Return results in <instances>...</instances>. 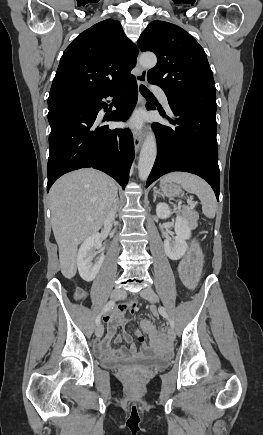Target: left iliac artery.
<instances>
[{"label": "left iliac artery", "mask_w": 263, "mask_h": 435, "mask_svg": "<svg viewBox=\"0 0 263 435\" xmlns=\"http://www.w3.org/2000/svg\"><path fill=\"white\" fill-rule=\"evenodd\" d=\"M159 313H160L164 318H166V319L168 320V322H169L171 328L174 329V327H175L174 322H173V320L168 316V314H167V312H166V310H165L164 307H159Z\"/></svg>", "instance_id": "1"}]
</instances>
